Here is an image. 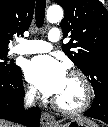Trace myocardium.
Returning <instances> with one entry per match:
<instances>
[{"mask_svg": "<svg viewBox=\"0 0 108 127\" xmlns=\"http://www.w3.org/2000/svg\"><path fill=\"white\" fill-rule=\"evenodd\" d=\"M69 76L77 79L82 86L83 99L81 103L77 106L68 107L62 105L58 100L53 98L52 105L56 110L65 114H79L86 111L91 106L94 98L93 88L89 79L83 72L79 70H72L69 72Z\"/></svg>", "mask_w": 108, "mask_h": 127, "instance_id": "myocardium-1", "label": "myocardium"}]
</instances>
